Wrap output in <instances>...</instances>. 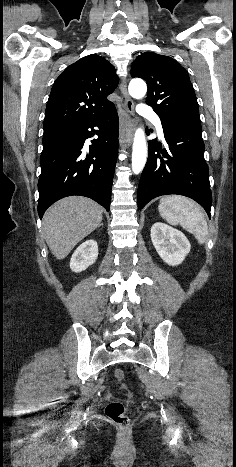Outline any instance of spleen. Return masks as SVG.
I'll list each match as a JSON object with an SVG mask.
<instances>
[{
  "mask_svg": "<svg viewBox=\"0 0 236 467\" xmlns=\"http://www.w3.org/2000/svg\"><path fill=\"white\" fill-rule=\"evenodd\" d=\"M159 213L171 225H181L194 234L199 243H204L208 235V226L201 208L192 200L179 196L161 198Z\"/></svg>",
  "mask_w": 236,
  "mask_h": 467,
  "instance_id": "obj_1",
  "label": "spleen"
}]
</instances>
